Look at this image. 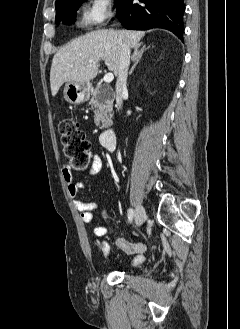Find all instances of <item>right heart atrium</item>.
I'll return each instance as SVG.
<instances>
[{
  "instance_id": "obj_1",
  "label": "right heart atrium",
  "mask_w": 240,
  "mask_h": 329,
  "mask_svg": "<svg viewBox=\"0 0 240 329\" xmlns=\"http://www.w3.org/2000/svg\"><path fill=\"white\" fill-rule=\"evenodd\" d=\"M112 15L111 0H90L83 12V23L89 27L103 24Z\"/></svg>"
}]
</instances>
